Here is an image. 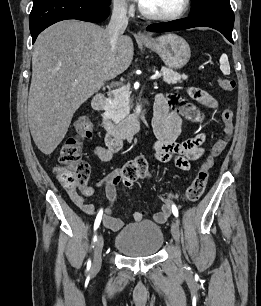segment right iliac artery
I'll return each instance as SVG.
<instances>
[{"label": "right iliac artery", "mask_w": 261, "mask_h": 306, "mask_svg": "<svg viewBox=\"0 0 261 306\" xmlns=\"http://www.w3.org/2000/svg\"><path fill=\"white\" fill-rule=\"evenodd\" d=\"M101 216H102V211H100L95 219V223H94V231H96L99 228L100 222H101ZM94 242L96 241V238L94 237ZM91 265V261L89 260L87 263V267L88 269L90 268Z\"/></svg>", "instance_id": "right-iliac-artery-1"}]
</instances>
